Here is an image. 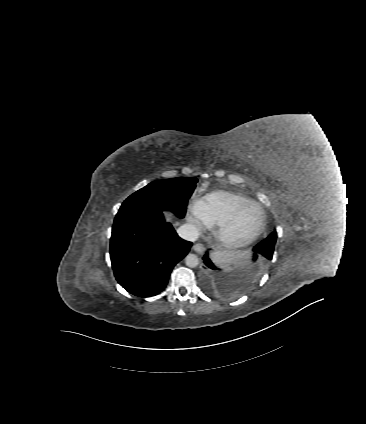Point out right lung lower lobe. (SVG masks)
Instances as JSON below:
<instances>
[{
  "label": "right lung lower lobe",
  "instance_id": "obj_1",
  "mask_svg": "<svg viewBox=\"0 0 366 424\" xmlns=\"http://www.w3.org/2000/svg\"><path fill=\"white\" fill-rule=\"evenodd\" d=\"M162 211H132L116 215L110 258L118 283L129 293L150 297L166 286L173 267L189 252Z\"/></svg>",
  "mask_w": 366,
  "mask_h": 424
}]
</instances>
